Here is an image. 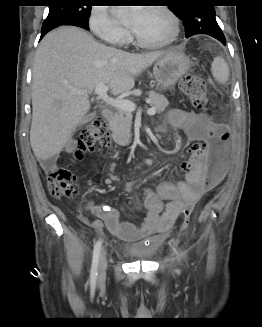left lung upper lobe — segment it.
<instances>
[{
    "label": "left lung upper lobe",
    "instance_id": "5c2ea615",
    "mask_svg": "<svg viewBox=\"0 0 262 327\" xmlns=\"http://www.w3.org/2000/svg\"><path fill=\"white\" fill-rule=\"evenodd\" d=\"M170 10L177 15L185 26V34L192 35L195 32L209 33L220 31L215 19V9L208 4L207 0H171Z\"/></svg>",
    "mask_w": 262,
    "mask_h": 327
}]
</instances>
